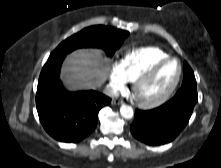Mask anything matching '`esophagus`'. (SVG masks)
Here are the masks:
<instances>
[{
    "mask_svg": "<svg viewBox=\"0 0 221 168\" xmlns=\"http://www.w3.org/2000/svg\"><path fill=\"white\" fill-rule=\"evenodd\" d=\"M111 103L112 105H121L123 101L120 99H113Z\"/></svg>",
    "mask_w": 221,
    "mask_h": 168,
    "instance_id": "obj_1",
    "label": "esophagus"
}]
</instances>
